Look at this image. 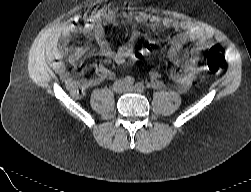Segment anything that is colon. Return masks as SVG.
<instances>
[{"mask_svg": "<svg viewBox=\"0 0 251 192\" xmlns=\"http://www.w3.org/2000/svg\"><path fill=\"white\" fill-rule=\"evenodd\" d=\"M136 55L143 53V48L136 45L133 48ZM225 60L222 54L216 51H209L206 56L205 69L213 74H219L224 68Z\"/></svg>", "mask_w": 251, "mask_h": 192, "instance_id": "obj_1", "label": "colon"}]
</instances>
